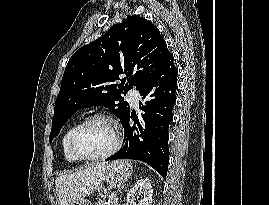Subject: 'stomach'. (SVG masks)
I'll list each match as a JSON object with an SVG mask.
<instances>
[{"label":"stomach","instance_id":"stomach-1","mask_svg":"<svg viewBox=\"0 0 269 205\" xmlns=\"http://www.w3.org/2000/svg\"><path fill=\"white\" fill-rule=\"evenodd\" d=\"M133 166L128 160H118L108 164L104 180L110 187H116L124 184L132 175ZM70 205H92L91 202L85 198L74 200Z\"/></svg>","mask_w":269,"mask_h":205}]
</instances>
